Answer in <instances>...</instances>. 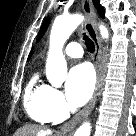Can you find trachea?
<instances>
[{"mask_svg":"<svg viewBox=\"0 0 136 136\" xmlns=\"http://www.w3.org/2000/svg\"><path fill=\"white\" fill-rule=\"evenodd\" d=\"M83 39L85 40V44H86L88 51L93 53L95 51V45L93 41L85 34L83 36Z\"/></svg>","mask_w":136,"mask_h":136,"instance_id":"trachea-1","label":"trachea"}]
</instances>
